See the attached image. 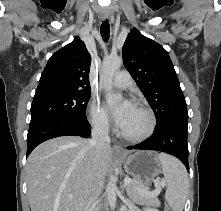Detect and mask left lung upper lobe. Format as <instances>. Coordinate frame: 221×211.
<instances>
[{
	"label": "left lung upper lobe",
	"instance_id": "obj_1",
	"mask_svg": "<svg viewBox=\"0 0 221 211\" xmlns=\"http://www.w3.org/2000/svg\"><path fill=\"white\" fill-rule=\"evenodd\" d=\"M123 62L152 107L157 127L188 119L186 101L168 55L158 43L131 30L122 48Z\"/></svg>",
	"mask_w": 221,
	"mask_h": 211
}]
</instances>
